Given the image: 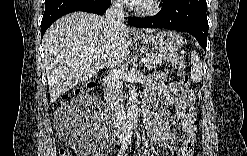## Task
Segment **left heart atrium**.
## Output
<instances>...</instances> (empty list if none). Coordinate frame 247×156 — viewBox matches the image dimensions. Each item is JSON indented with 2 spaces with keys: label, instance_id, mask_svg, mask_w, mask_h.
<instances>
[{
  "label": "left heart atrium",
  "instance_id": "left-heart-atrium-1",
  "mask_svg": "<svg viewBox=\"0 0 247 156\" xmlns=\"http://www.w3.org/2000/svg\"><path fill=\"white\" fill-rule=\"evenodd\" d=\"M146 1L145 0H129L128 3L130 5H141L144 4Z\"/></svg>",
  "mask_w": 247,
  "mask_h": 156
}]
</instances>
